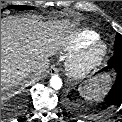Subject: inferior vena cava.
<instances>
[{
    "mask_svg": "<svg viewBox=\"0 0 122 122\" xmlns=\"http://www.w3.org/2000/svg\"><path fill=\"white\" fill-rule=\"evenodd\" d=\"M49 60L48 59H44L40 62H37L33 67H32V71L36 72V73H41L43 71H45L48 67H49Z\"/></svg>",
    "mask_w": 122,
    "mask_h": 122,
    "instance_id": "602c4592",
    "label": "inferior vena cava"
}]
</instances>
